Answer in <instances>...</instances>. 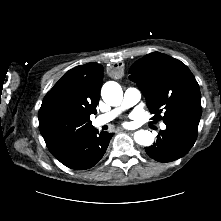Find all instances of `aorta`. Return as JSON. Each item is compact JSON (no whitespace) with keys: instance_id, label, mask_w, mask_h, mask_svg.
Instances as JSON below:
<instances>
[{"instance_id":"aorta-1","label":"aorta","mask_w":221,"mask_h":221,"mask_svg":"<svg viewBox=\"0 0 221 221\" xmlns=\"http://www.w3.org/2000/svg\"><path fill=\"white\" fill-rule=\"evenodd\" d=\"M101 95L108 105L118 106L122 101L123 91L117 82L109 81L103 85ZM134 140L139 145L150 146L154 142V135L148 130H138L134 133Z\"/></svg>"}]
</instances>
